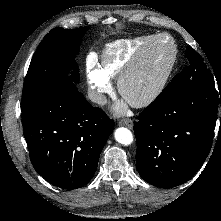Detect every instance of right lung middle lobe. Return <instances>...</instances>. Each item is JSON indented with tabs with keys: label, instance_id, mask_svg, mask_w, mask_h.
Here are the masks:
<instances>
[{
	"label": "right lung middle lobe",
	"instance_id": "dd1d6c3e",
	"mask_svg": "<svg viewBox=\"0 0 221 221\" xmlns=\"http://www.w3.org/2000/svg\"><path fill=\"white\" fill-rule=\"evenodd\" d=\"M86 30L87 27H57L44 37L33 55L25 78L21 109L57 82L69 80L76 83L79 80V69L74 59Z\"/></svg>",
	"mask_w": 221,
	"mask_h": 221
}]
</instances>
